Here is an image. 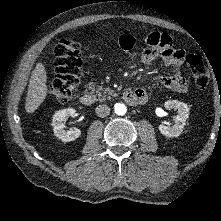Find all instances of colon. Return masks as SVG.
Returning <instances> with one entry per match:
<instances>
[{"mask_svg":"<svg viewBox=\"0 0 221 221\" xmlns=\"http://www.w3.org/2000/svg\"><path fill=\"white\" fill-rule=\"evenodd\" d=\"M55 77L49 83L51 95L60 103L68 102L73 96L82 74L80 44L70 38H62L54 49ZM196 87L204 90L208 86L209 72L201 56L188 55Z\"/></svg>","mask_w":221,"mask_h":221,"instance_id":"colon-1","label":"colon"}]
</instances>
